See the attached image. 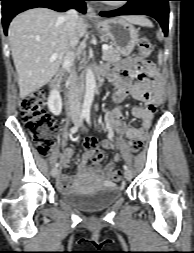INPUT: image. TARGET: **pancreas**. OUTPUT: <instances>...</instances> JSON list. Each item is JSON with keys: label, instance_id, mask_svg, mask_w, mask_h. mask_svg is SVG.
<instances>
[{"label": "pancreas", "instance_id": "cf45deb5", "mask_svg": "<svg viewBox=\"0 0 194 253\" xmlns=\"http://www.w3.org/2000/svg\"><path fill=\"white\" fill-rule=\"evenodd\" d=\"M102 59L108 63H114L121 59V54L115 48L109 46L108 50L103 51Z\"/></svg>", "mask_w": 194, "mask_h": 253}]
</instances>
